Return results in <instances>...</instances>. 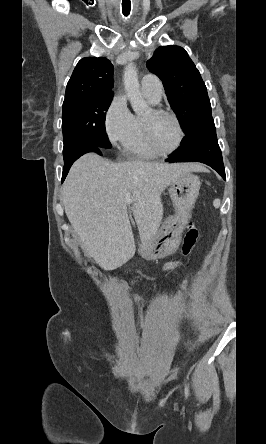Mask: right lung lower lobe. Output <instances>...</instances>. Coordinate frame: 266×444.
Returning a JSON list of instances; mask_svg holds the SVG:
<instances>
[{
  "label": "right lung lower lobe",
  "mask_w": 266,
  "mask_h": 444,
  "mask_svg": "<svg viewBox=\"0 0 266 444\" xmlns=\"http://www.w3.org/2000/svg\"><path fill=\"white\" fill-rule=\"evenodd\" d=\"M102 149L95 146V145H86L84 147H82L73 157H70L69 159L64 161V167H63V174H62V182L64 181V179L67 176V173L70 169V167L72 166V164L82 155L88 153V152H95L98 153L99 155H102Z\"/></svg>",
  "instance_id": "obj_1"
}]
</instances>
